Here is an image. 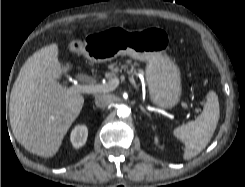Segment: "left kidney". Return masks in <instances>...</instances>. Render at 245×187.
Instances as JSON below:
<instances>
[{
    "mask_svg": "<svg viewBox=\"0 0 245 187\" xmlns=\"http://www.w3.org/2000/svg\"><path fill=\"white\" fill-rule=\"evenodd\" d=\"M155 143L158 144V138L157 137H155Z\"/></svg>",
    "mask_w": 245,
    "mask_h": 187,
    "instance_id": "1",
    "label": "left kidney"
}]
</instances>
